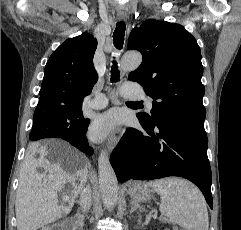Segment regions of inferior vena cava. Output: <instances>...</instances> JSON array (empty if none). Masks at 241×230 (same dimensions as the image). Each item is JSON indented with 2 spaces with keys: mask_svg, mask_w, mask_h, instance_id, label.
I'll list each match as a JSON object with an SVG mask.
<instances>
[{
  "mask_svg": "<svg viewBox=\"0 0 241 230\" xmlns=\"http://www.w3.org/2000/svg\"><path fill=\"white\" fill-rule=\"evenodd\" d=\"M79 204L83 212H87L90 209L92 204V195H91V189L89 185L83 188L80 194Z\"/></svg>",
  "mask_w": 241,
  "mask_h": 230,
  "instance_id": "602c4592",
  "label": "inferior vena cava"
}]
</instances>
